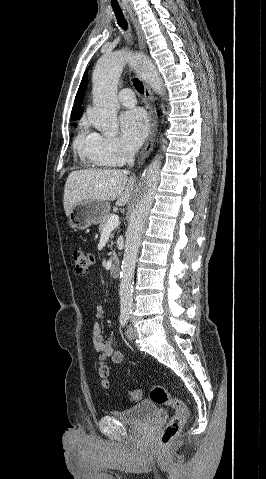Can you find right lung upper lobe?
I'll return each mask as SVG.
<instances>
[{
	"mask_svg": "<svg viewBox=\"0 0 266 479\" xmlns=\"http://www.w3.org/2000/svg\"><path fill=\"white\" fill-rule=\"evenodd\" d=\"M86 83H87V73L83 76L78 92L75 97V102L78 104H82V101L85 95ZM82 113H83L82 109L74 105L72 108V113H71L72 120L79 119Z\"/></svg>",
	"mask_w": 266,
	"mask_h": 479,
	"instance_id": "cb5924a9",
	"label": "right lung upper lobe"
}]
</instances>
